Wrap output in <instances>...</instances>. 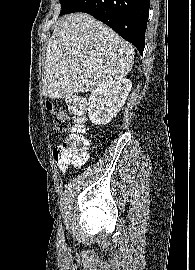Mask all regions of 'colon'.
<instances>
[{"mask_svg": "<svg viewBox=\"0 0 195 270\" xmlns=\"http://www.w3.org/2000/svg\"><path fill=\"white\" fill-rule=\"evenodd\" d=\"M46 106L54 115L56 129L60 133L69 131L71 123L67 112L51 102H48ZM66 108L73 116L75 125L64 137L62 143L53 150V157L61 170H66L72 165H80L87 158V137L84 128L86 101L79 96H71L66 101Z\"/></svg>", "mask_w": 195, "mask_h": 270, "instance_id": "obj_1", "label": "colon"}]
</instances>
